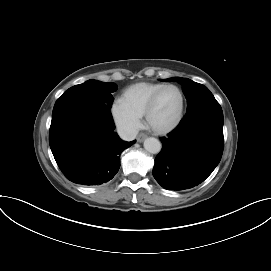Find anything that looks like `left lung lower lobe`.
<instances>
[{
    "label": "left lung lower lobe",
    "mask_w": 271,
    "mask_h": 271,
    "mask_svg": "<svg viewBox=\"0 0 271 271\" xmlns=\"http://www.w3.org/2000/svg\"><path fill=\"white\" fill-rule=\"evenodd\" d=\"M153 176L167 190H183L203 182L223 153V112L217 101L187 111L180 125L161 139Z\"/></svg>",
    "instance_id": "0a47b994"
}]
</instances>
